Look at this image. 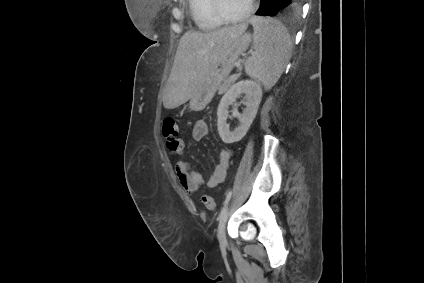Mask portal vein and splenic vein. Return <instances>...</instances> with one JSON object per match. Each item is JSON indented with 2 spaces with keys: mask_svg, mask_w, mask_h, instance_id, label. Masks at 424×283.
I'll return each instance as SVG.
<instances>
[{
  "mask_svg": "<svg viewBox=\"0 0 424 283\" xmlns=\"http://www.w3.org/2000/svg\"><path fill=\"white\" fill-rule=\"evenodd\" d=\"M236 66H237V71L240 72L241 71L240 62H236Z\"/></svg>",
  "mask_w": 424,
  "mask_h": 283,
  "instance_id": "1",
  "label": "portal vein and splenic vein"
}]
</instances>
